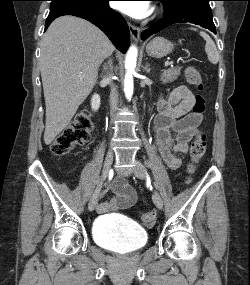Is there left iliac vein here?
<instances>
[{
  "mask_svg": "<svg viewBox=\"0 0 250 285\" xmlns=\"http://www.w3.org/2000/svg\"><path fill=\"white\" fill-rule=\"evenodd\" d=\"M133 172H134L135 176L139 179H145L146 178V169L140 162L135 163V166L133 168ZM153 202L158 209H162L163 201H162L160 194L157 191H154Z\"/></svg>",
  "mask_w": 250,
  "mask_h": 285,
  "instance_id": "obj_1",
  "label": "left iliac vein"
}]
</instances>
